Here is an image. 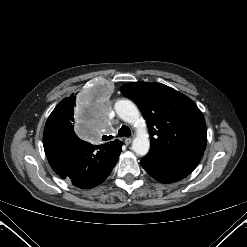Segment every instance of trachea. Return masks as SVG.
<instances>
[{
	"mask_svg": "<svg viewBox=\"0 0 247 247\" xmlns=\"http://www.w3.org/2000/svg\"><path fill=\"white\" fill-rule=\"evenodd\" d=\"M118 136L119 137H130L131 136V130L128 126L126 125H122V127L119 129L118 131ZM113 138V136H107V135H104L102 137L103 140L107 141V140H111Z\"/></svg>",
	"mask_w": 247,
	"mask_h": 247,
	"instance_id": "obj_1",
	"label": "trachea"
}]
</instances>
